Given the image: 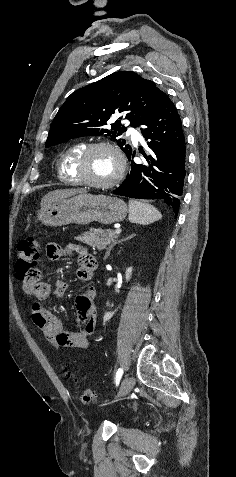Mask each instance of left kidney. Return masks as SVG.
<instances>
[{
	"label": "left kidney",
	"mask_w": 236,
	"mask_h": 477,
	"mask_svg": "<svg viewBox=\"0 0 236 477\" xmlns=\"http://www.w3.org/2000/svg\"><path fill=\"white\" fill-rule=\"evenodd\" d=\"M132 270H133L132 267H129L126 270V273H125L126 281L130 280L131 275H132ZM113 315H114V312H106L104 317H103V321L106 322V321L110 320Z\"/></svg>",
	"instance_id": "1"
}]
</instances>
